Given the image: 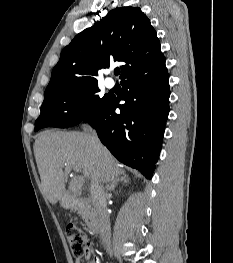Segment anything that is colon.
Returning a JSON list of instances; mask_svg holds the SVG:
<instances>
[{"label":"colon","instance_id":"colon-1","mask_svg":"<svg viewBox=\"0 0 233 263\" xmlns=\"http://www.w3.org/2000/svg\"><path fill=\"white\" fill-rule=\"evenodd\" d=\"M65 233L75 258H87L88 260L93 258L91 257L92 243L81 228L74 224H68Z\"/></svg>","mask_w":233,"mask_h":263}]
</instances>
